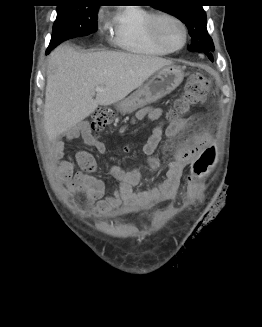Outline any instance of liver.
<instances>
[{"label":"liver","instance_id":"1","mask_svg":"<svg viewBox=\"0 0 262 327\" xmlns=\"http://www.w3.org/2000/svg\"><path fill=\"white\" fill-rule=\"evenodd\" d=\"M172 61L115 51L80 53L69 45L57 47L48 60L44 129L50 141L69 131L99 105L124 99L151 75ZM104 91L96 93L95 88Z\"/></svg>","mask_w":262,"mask_h":327}]
</instances>
